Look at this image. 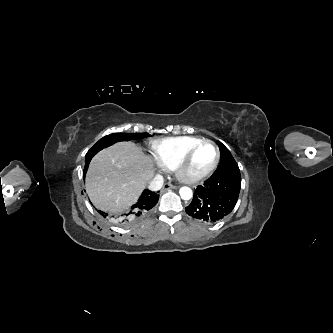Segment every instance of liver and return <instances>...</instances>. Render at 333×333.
<instances>
[{
    "label": "liver",
    "instance_id": "6515ba94",
    "mask_svg": "<svg viewBox=\"0 0 333 333\" xmlns=\"http://www.w3.org/2000/svg\"><path fill=\"white\" fill-rule=\"evenodd\" d=\"M152 175L151 159L134 143L120 142L93 157L86 190L97 209L118 213L137 201Z\"/></svg>",
    "mask_w": 333,
    "mask_h": 333
}]
</instances>
